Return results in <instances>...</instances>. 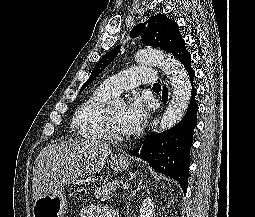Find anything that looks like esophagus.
I'll return each instance as SVG.
<instances>
[{"label": "esophagus", "mask_w": 255, "mask_h": 217, "mask_svg": "<svg viewBox=\"0 0 255 217\" xmlns=\"http://www.w3.org/2000/svg\"><path fill=\"white\" fill-rule=\"evenodd\" d=\"M156 122H157V118H155L154 121L152 122L151 129L154 127V125H156Z\"/></svg>", "instance_id": "esophagus-1"}]
</instances>
